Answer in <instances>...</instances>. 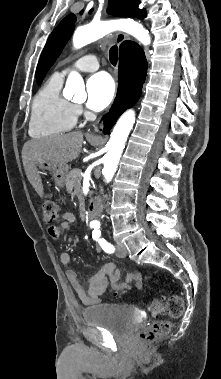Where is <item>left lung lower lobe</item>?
Wrapping results in <instances>:
<instances>
[{
	"instance_id": "left-lung-lower-lobe-1",
	"label": "left lung lower lobe",
	"mask_w": 221,
	"mask_h": 379,
	"mask_svg": "<svg viewBox=\"0 0 221 379\" xmlns=\"http://www.w3.org/2000/svg\"><path fill=\"white\" fill-rule=\"evenodd\" d=\"M145 17V14L142 16V18H144Z\"/></svg>"
}]
</instances>
